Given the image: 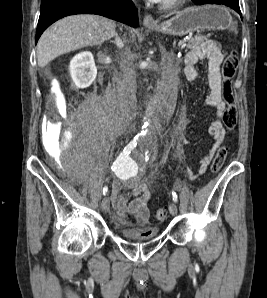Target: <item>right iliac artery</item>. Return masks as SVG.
I'll list each match as a JSON object with an SVG mask.
<instances>
[{"instance_id": "obj_1", "label": "right iliac artery", "mask_w": 267, "mask_h": 298, "mask_svg": "<svg viewBox=\"0 0 267 298\" xmlns=\"http://www.w3.org/2000/svg\"><path fill=\"white\" fill-rule=\"evenodd\" d=\"M138 135L134 137V139L132 141H130L128 143V145L123 149V151L119 154V156L117 157L116 162L114 163L116 168L117 166H122L125 162L128 161L129 154L131 153V151L136 147L137 145V141H138ZM113 170V167H112ZM107 193V187L103 188V195H106Z\"/></svg>"}]
</instances>
